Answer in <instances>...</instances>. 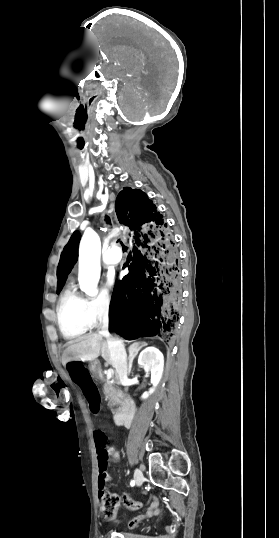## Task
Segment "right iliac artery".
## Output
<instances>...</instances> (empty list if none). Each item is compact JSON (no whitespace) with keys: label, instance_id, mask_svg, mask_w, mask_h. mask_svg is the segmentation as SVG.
I'll list each match as a JSON object with an SVG mask.
<instances>
[{"label":"right iliac artery","instance_id":"right-iliac-artery-1","mask_svg":"<svg viewBox=\"0 0 279 538\" xmlns=\"http://www.w3.org/2000/svg\"><path fill=\"white\" fill-rule=\"evenodd\" d=\"M130 484H131V486H134V485H135V481H134V480H131Z\"/></svg>","mask_w":279,"mask_h":538}]
</instances>
